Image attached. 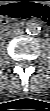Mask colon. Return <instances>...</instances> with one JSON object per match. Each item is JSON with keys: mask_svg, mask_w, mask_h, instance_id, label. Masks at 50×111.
I'll return each instance as SVG.
<instances>
[{"mask_svg": "<svg viewBox=\"0 0 50 111\" xmlns=\"http://www.w3.org/2000/svg\"><path fill=\"white\" fill-rule=\"evenodd\" d=\"M3 22L19 18H37L43 21L50 19V7L39 0H16L3 5L0 9Z\"/></svg>", "mask_w": 50, "mask_h": 111, "instance_id": "5ec220e1", "label": "colon"}]
</instances>
